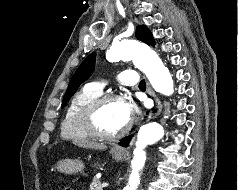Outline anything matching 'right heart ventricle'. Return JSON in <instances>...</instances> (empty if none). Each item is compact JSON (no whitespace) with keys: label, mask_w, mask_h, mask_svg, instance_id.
Returning a JSON list of instances; mask_svg holds the SVG:
<instances>
[{"label":"right heart ventricle","mask_w":238,"mask_h":190,"mask_svg":"<svg viewBox=\"0 0 238 190\" xmlns=\"http://www.w3.org/2000/svg\"><path fill=\"white\" fill-rule=\"evenodd\" d=\"M100 95L101 93L87 86L73 96L61 123V136L64 139L86 141L92 138L84 129L81 117L87 105Z\"/></svg>","instance_id":"obj_1"}]
</instances>
